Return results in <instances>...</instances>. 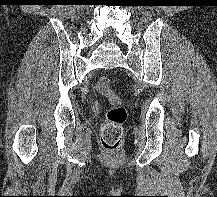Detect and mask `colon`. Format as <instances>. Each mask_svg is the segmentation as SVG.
<instances>
[{
    "label": "colon",
    "instance_id": "colon-1",
    "mask_svg": "<svg viewBox=\"0 0 217 197\" xmlns=\"http://www.w3.org/2000/svg\"><path fill=\"white\" fill-rule=\"evenodd\" d=\"M110 84L109 77L101 76L97 80L96 90L111 104L101 128V143L106 151L114 152L120 148L122 125L127 119V111L121 104V98L111 90Z\"/></svg>",
    "mask_w": 217,
    "mask_h": 197
}]
</instances>
